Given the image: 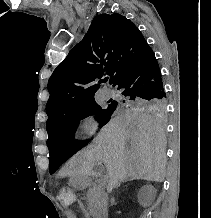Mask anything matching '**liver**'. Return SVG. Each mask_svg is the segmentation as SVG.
Listing matches in <instances>:
<instances>
[{
	"instance_id": "liver-1",
	"label": "liver",
	"mask_w": 211,
	"mask_h": 218,
	"mask_svg": "<svg viewBox=\"0 0 211 218\" xmlns=\"http://www.w3.org/2000/svg\"><path fill=\"white\" fill-rule=\"evenodd\" d=\"M164 130L143 112L118 114L102 128L92 146L66 164L65 176H92L102 162L113 180L163 182L166 154Z\"/></svg>"
}]
</instances>
